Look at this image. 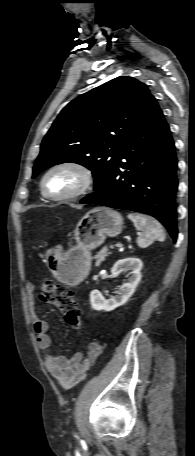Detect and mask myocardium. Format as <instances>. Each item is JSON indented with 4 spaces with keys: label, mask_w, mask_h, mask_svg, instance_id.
Returning <instances> with one entry per match:
<instances>
[{
    "label": "myocardium",
    "mask_w": 195,
    "mask_h": 456,
    "mask_svg": "<svg viewBox=\"0 0 195 456\" xmlns=\"http://www.w3.org/2000/svg\"><path fill=\"white\" fill-rule=\"evenodd\" d=\"M64 168L73 169V170L77 171L81 176V183L74 191H72L68 194L52 195L46 189V179L55 170L64 169ZM93 181H94L93 173L86 165L79 163V162H75V161H64V162H60V163H57V164L51 166L44 173V175L42 176V179H41L40 186H41V192L46 198L53 200V201H68V200H72V199L85 195L92 187Z\"/></svg>",
    "instance_id": "f54148a6"
}]
</instances>
